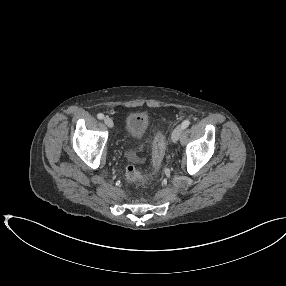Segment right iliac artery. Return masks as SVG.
<instances>
[{
  "label": "right iliac artery",
  "mask_w": 286,
  "mask_h": 286,
  "mask_svg": "<svg viewBox=\"0 0 286 286\" xmlns=\"http://www.w3.org/2000/svg\"><path fill=\"white\" fill-rule=\"evenodd\" d=\"M97 118H98V119H103V118H104V115H103L102 113H99V114L97 115Z\"/></svg>",
  "instance_id": "82829eb1"
}]
</instances>
